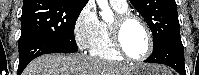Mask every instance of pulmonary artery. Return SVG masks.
<instances>
[{
    "instance_id": "1",
    "label": "pulmonary artery",
    "mask_w": 199,
    "mask_h": 75,
    "mask_svg": "<svg viewBox=\"0 0 199 75\" xmlns=\"http://www.w3.org/2000/svg\"><path fill=\"white\" fill-rule=\"evenodd\" d=\"M110 3L114 8L118 9H127L128 7L127 1L125 0H111Z\"/></svg>"
}]
</instances>
